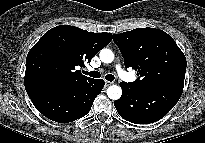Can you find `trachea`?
<instances>
[{
  "instance_id": "trachea-1",
  "label": "trachea",
  "mask_w": 205,
  "mask_h": 143,
  "mask_svg": "<svg viewBox=\"0 0 205 143\" xmlns=\"http://www.w3.org/2000/svg\"><path fill=\"white\" fill-rule=\"evenodd\" d=\"M83 73L93 78H99L101 76V74L98 71H92V72L83 71ZM105 79L108 81H113L115 77L112 74H108L106 75Z\"/></svg>"
}]
</instances>
